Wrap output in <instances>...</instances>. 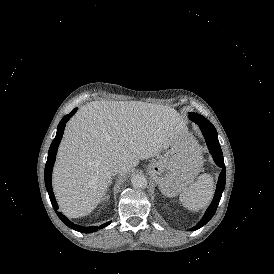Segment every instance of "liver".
I'll return each instance as SVG.
<instances>
[{"mask_svg": "<svg viewBox=\"0 0 274 274\" xmlns=\"http://www.w3.org/2000/svg\"><path fill=\"white\" fill-rule=\"evenodd\" d=\"M173 108L143 101H93L68 122L54 168L53 187L69 217L88 215L113 175L162 154L171 135L186 132Z\"/></svg>", "mask_w": 274, "mask_h": 274, "instance_id": "6515ba94", "label": "liver"}]
</instances>
